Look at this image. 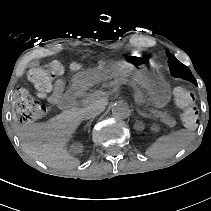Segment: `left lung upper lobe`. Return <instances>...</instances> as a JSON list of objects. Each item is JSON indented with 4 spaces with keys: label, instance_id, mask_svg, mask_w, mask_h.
I'll return each instance as SVG.
<instances>
[{
    "label": "left lung upper lobe",
    "instance_id": "left-lung-upper-lobe-1",
    "mask_svg": "<svg viewBox=\"0 0 211 211\" xmlns=\"http://www.w3.org/2000/svg\"><path fill=\"white\" fill-rule=\"evenodd\" d=\"M168 57V64L170 67V72L173 77H180L184 80H187L195 85H197L196 79L194 78L193 74L189 70L187 66L179 62L174 55L170 52H166Z\"/></svg>",
    "mask_w": 211,
    "mask_h": 211
}]
</instances>
